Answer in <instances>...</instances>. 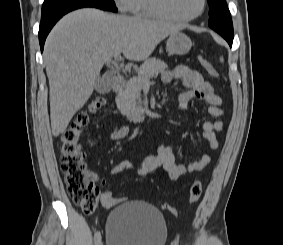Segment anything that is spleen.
Listing matches in <instances>:
<instances>
[{"label": "spleen", "instance_id": "3e777b00", "mask_svg": "<svg viewBox=\"0 0 283 245\" xmlns=\"http://www.w3.org/2000/svg\"><path fill=\"white\" fill-rule=\"evenodd\" d=\"M220 61H221V62H223V61H224V60H223V57H221V58H220Z\"/></svg>", "mask_w": 283, "mask_h": 245}]
</instances>
